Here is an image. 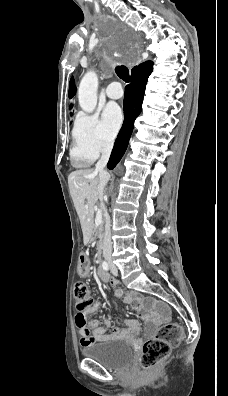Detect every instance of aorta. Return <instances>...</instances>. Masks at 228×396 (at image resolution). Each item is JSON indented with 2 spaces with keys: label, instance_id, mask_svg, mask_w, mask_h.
Returning a JSON list of instances; mask_svg holds the SVG:
<instances>
[{
  "label": "aorta",
  "instance_id": "762f6f07",
  "mask_svg": "<svg viewBox=\"0 0 228 396\" xmlns=\"http://www.w3.org/2000/svg\"><path fill=\"white\" fill-rule=\"evenodd\" d=\"M97 74L89 70L82 78L78 89V101L81 109L87 113H92L97 105Z\"/></svg>",
  "mask_w": 228,
  "mask_h": 396
}]
</instances>
